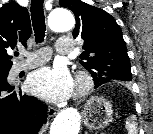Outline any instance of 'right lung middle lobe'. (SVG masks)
Instances as JSON below:
<instances>
[{
    "mask_svg": "<svg viewBox=\"0 0 153 134\" xmlns=\"http://www.w3.org/2000/svg\"><path fill=\"white\" fill-rule=\"evenodd\" d=\"M9 73V69L7 70H0V77H7Z\"/></svg>",
    "mask_w": 153,
    "mask_h": 134,
    "instance_id": "dd1d6c3e",
    "label": "right lung middle lobe"
}]
</instances>
